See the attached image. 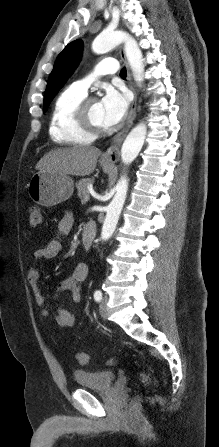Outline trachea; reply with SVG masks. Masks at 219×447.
I'll return each mask as SVG.
<instances>
[{
  "instance_id": "trachea-1",
  "label": "trachea",
  "mask_w": 219,
  "mask_h": 447,
  "mask_svg": "<svg viewBox=\"0 0 219 447\" xmlns=\"http://www.w3.org/2000/svg\"><path fill=\"white\" fill-rule=\"evenodd\" d=\"M126 75H127V71H126V68L124 67L120 71V77L126 78Z\"/></svg>"
}]
</instances>
